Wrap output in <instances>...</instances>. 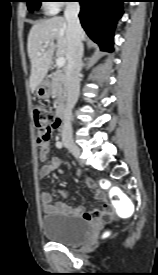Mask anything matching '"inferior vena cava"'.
Masks as SVG:
<instances>
[{"label":"inferior vena cava","instance_id":"inferior-vena-cava-1","mask_svg":"<svg viewBox=\"0 0 158 275\" xmlns=\"http://www.w3.org/2000/svg\"><path fill=\"white\" fill-rule=\"evenodd\" d=\"M80 5L78 2H70L65 9V19L68 23L67 29V70H66V92L67 103L64 111L62 136H72V109L78 99L80 89V72L83 67V44L82 27L78 14Z\"/></svg>","mask_w":158,"mask_h":275}]
</instances>
